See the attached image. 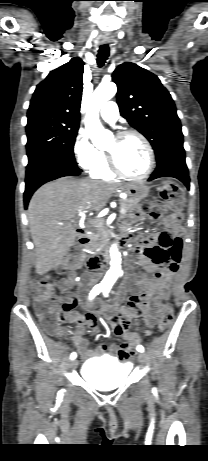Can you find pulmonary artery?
Masks as SVG:
<instances>
[{
  "label": "pulmonary artery",
  "instance_id": "obj_1",
  "mask_svg": "<svg viewBox=\"0 0 208 461\" xmlns=\"http://www.w3.org/2000/svg\"><path fill=\"white\" fill-rule=\"evenodd\" d=\"M101 117L109 123H114L118 119L119 110L115 102L109 101L100 110Z\"/></svg>",
  "mask_w": 208,
  "mask_h": 461
}]
</instances>
